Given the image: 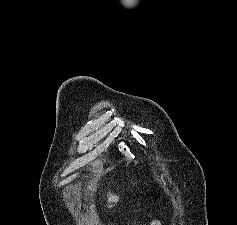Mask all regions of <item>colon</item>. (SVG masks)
Returning <instances> with one entry per match:
<instances>
[{"label": "colon", "mask_w": 237, "mask_h": 225, "mask_svg": "<svg viewBox=\"0 0 237 225\" xmlns=\"http://www.w3.org/2000/svg\"><path fill=\"white\" fill-rule=\"evenodd\" d=\"M151 225H160V223L158 221H153Z\"/></svg>", "instance_id": "1"}]
</instances>
